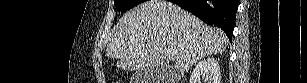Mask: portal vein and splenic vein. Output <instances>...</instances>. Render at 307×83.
Masks as SVG:
<instances>
[{
	"mask_svg": "<svg viewBox=\"0 0 307 83\" xmlns=\"http://www.w3.org/2000/svg\"><path fill=\"white\" fill-rule=\"evenodd\" d=\"M169 54H171L172 56H175V55L177 54V51L174 50V49H171V50L169 51Z\"/></svg>",
	"mask_w": 307,
	"mask_h": 83,
	"instance_id": "18ae733b",
	"label": "portal vein and splenic vein"
}]
</instances>
